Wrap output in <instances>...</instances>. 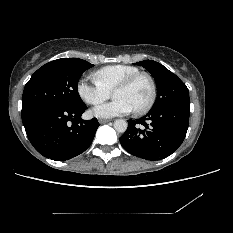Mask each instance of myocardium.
Listing matches in <instances>:
<instances>
[{
	"mask_svg": "<svg viewBox=\"0 0 233 233\" xmlns=\"http://www.w3.org/2000/svg\"><path fill=\"white\" fill-rule=\"evenodd\" d=\"M139 78L147 79L149 84H150V90H151L150 97H149L147 103L142 108L133 110L135 114L142 115V114H145L151 110V108L153 107V105L156 101V98H157V84H156V81L152 75H150L147 72L134 73V74L128 76L127 78H125L124 80H122L121 82H119L115 86V88L113 89L112 94H114L118 90L128 88Z\"/></svg>",
	"mask_w": 233,
	"mask_h": 233,
	"instance_id": "obj_1",
	"label": "myocardium"
}]
</instances>
